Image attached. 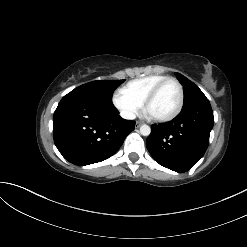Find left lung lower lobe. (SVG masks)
<instances>
[{"mask_svg": "<svg viewBox=\"0 0 247 247\" xmlns=\"http://www.w3.org/2000/svg\"><path fill=\"white\" fill-rule=\"evenodd\" d=\"M214 117L208 99L184 106L172 121L153 125L146 146L160 165L183 173L203 157Z\"/></svg>", "mask_w": 247, "mask_h": 247, "instance_id": "1", "label": "left lung lower lobe"}]
</instances>
